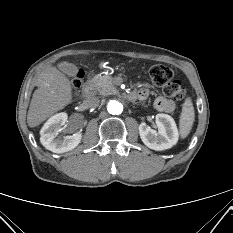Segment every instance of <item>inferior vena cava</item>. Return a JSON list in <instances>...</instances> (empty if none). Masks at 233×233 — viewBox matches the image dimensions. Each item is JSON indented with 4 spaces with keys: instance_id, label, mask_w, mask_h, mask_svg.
I'll list each match as a JSON object with an SVG mask.
<instances>
[{
    "instance_id": "1",
    "label": "inferior vena cava",
    "mask_w": 233,
    "mask_h": 233,
    "mask_svg": "<svg viewBox=\"0 0 233 233\" xmlns=\"http://www.w3.org/2000/svg\"><path fill=\"white\" fill-rule=\"evenodd\" d=\"M84 103L87 107L92 108V107H97L100 103V100L96 96H88L85 100Z\"/></svg>"
}]
</instances>
